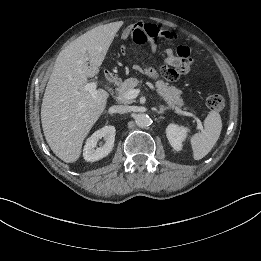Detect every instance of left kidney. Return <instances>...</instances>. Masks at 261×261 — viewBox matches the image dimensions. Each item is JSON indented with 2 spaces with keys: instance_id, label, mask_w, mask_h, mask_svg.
<instances>
[{
  "instance_id": "left-kidney-1",
  "label": "left kidney",
  "mask_w": 261,
  "mask_h": 261,
  "mask_svg": "<svg viewBox=\"0 0 261 261\" xmlns=\"http://www.w3.org/2000/svg\"><path fill=\"white\" fill-rule=\"evenodd\" d=\"M188 130L189 129L187 127L178 126L176 124H170L167 126V139L176 151H180L182 149V142L185 140Z\"/></svg>"
}]
</instances>
